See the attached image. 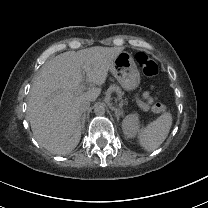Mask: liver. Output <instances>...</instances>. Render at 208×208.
<instances>
[{"label":"liver","instance_id":"1","mask_svg":"<svg viewBox=\"0 0 208 208\" xmlns=\"http://www.w3.org/2000/svg\"><path fill=\"white\" fill-rule=\"evenodd\" d=\"M122 47H91L68 51L46 62L35 78L27 106V117L37 142L49 152H71L81 138L79 97L95 101L101 88L79 91L82 69L91 82L100 86L107 77L113 59Z\"/></svg>","mask_w":208,"mask_h":208}]
</instances>
